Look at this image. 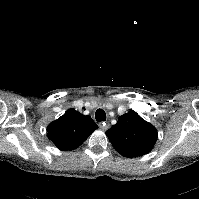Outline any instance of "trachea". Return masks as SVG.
<instances>
[{
    "label": "trachea",
    "mask_w": 199,
    "mask_h": 199,
    "mask_svg": "<svg viewBox=\"0 0 199 199\" xmlns=\"http://www.w3.org/2000/svg\"><path fill=\"white\" fill-rule=\"evenodd\" d=\"M95 119L98 121V122H101V121H105L106 120V113L103 109H98L95 113Z\"/></svg>",
    "instance_id": "1"
}]
</instances>
